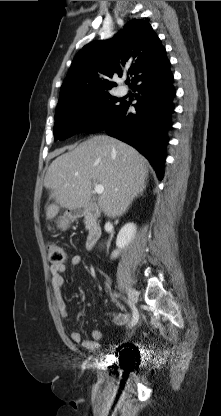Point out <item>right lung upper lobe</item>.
<instances>
[{
    "label": "right lung upper lobe",
    "mask_w": 221,
    "mask_h": 416,
    "mask_svg": "<svg viewBox=\"0 0 221 416\" xmlns=\"http://www.w3.org/2000/svg\"><path fill=\"white\" fill-rule=\"evenodd\" d=\"M165 48L150 24L131 20L124 30L107 41L84 46L74 58L60 90L58 104L109 92L110 78L127 72L131 87L145 77L169 70Z\"/></svg>",
    "instance_id": "cb5924a9"
}]
</instances>
